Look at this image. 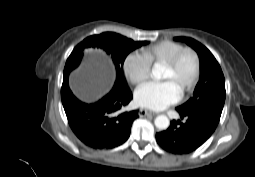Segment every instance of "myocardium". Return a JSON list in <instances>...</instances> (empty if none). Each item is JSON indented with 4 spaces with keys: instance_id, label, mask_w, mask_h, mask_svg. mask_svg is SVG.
Here are the masks:
<instances>
[{
    "instance_id": "obj_1",
    "label": "myocardium",
    "mask_w": 255,
    "mask_h": 177,
    "mask_svg": "<svg viewBox=\"0 0 255 177\" xmlns=\"http://www.w3.org/2000/svg\"><path fill=\"white\" fill-rule=\"evenodd\" d=\"M186 55H191L194 60V73L192 78L190 79L189 83L181 90L182 93H186L193 89V87L198 82L200 76V69H201V61L198 53L189 47H184L179 52H177L169 61L165 62L163 65L164 67L169 68L170 70H175L180 65L182 59Z\"/></svg>"
}]
</instances>
